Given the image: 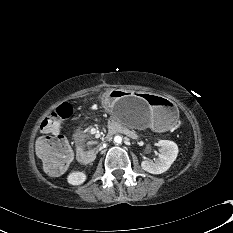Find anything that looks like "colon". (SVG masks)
I'll list each match as a JSON object with an SVG mask.
<instances>
[{"label":"colon","mask_w":233,"mask_h":233,"mask_svg":"<svg viewBox=\"0 0 233 233\" xmlns=\"http://www.w3.org/2000/svg\"><path fill=\"white\" fill-rule=\"evenodd\" d=\"M73 112V105L64 103L48 115L41 123L46 134H55ZM36 151L44 170L50 175H58L68 167L72 152L65 138L60 136H42L36 144Z\"/></svg>","instance_id":"colon-1"}]
</instances>
